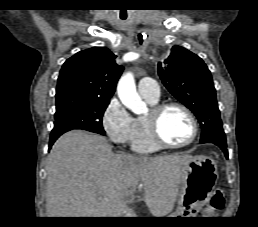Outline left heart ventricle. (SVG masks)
Returning <instances> with one entry per match:
<instances>
[{
	"label": "left heart ventricle",
	"instance_id": "left-heart-ventricle-1",
	"mask_svg": "<svg viewBox=\"0 0 258 227\" xmlns=\"http://www.w3.org/2000/svg\"><path fill=\"white\" fill-rule=\"evenodd\" d=\"M160 131L163 138L171 143H182L192 135V125L181 109L170 108L160 119Z\"/></svg>",
	"mask_w": 258,
	"mask_h": 227
}]
</instances>
